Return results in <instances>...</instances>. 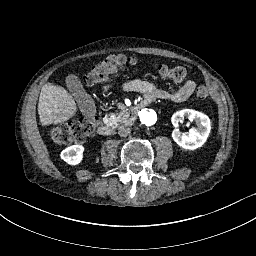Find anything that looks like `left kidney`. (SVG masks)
I'll return each instance as SVG.
<instances>
[{"mask_svg": "<svg viewBox=\"0 0 256 256\" xmlns=\"http://www.w3.org/2000/svg\"><path fill=\"white\" fill-rule=\"evenodd\" d=\"M185 117L190 122L195 121L197 125L196 128H191L188 133H182L178 129L179 122ZM171 122L175 127L172 132L173 140L184 149L194 150L201 147L206 142L211 130L209 117L192 109H183L175 112L172 115Z\"/></svg>", "mask_w": 256, "mask_h": 256, "instance_id": "obj_1", "label": "left kidney"}]
</instances>
